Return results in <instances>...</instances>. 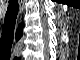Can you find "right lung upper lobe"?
<instances>
[{"instance_id": "right-lung-upper-lobe-1", "label": "right lung upper lobe", "mask_w": 80, "mask_h": 60, "mask_svg": "<svg viewBox=\"0 0 80 60\" xmlns=\"http://www.w3.org/2000/svg\"><path fill=\"white\" fill-rule=\"evenodd\" d=\"M22 30H23V25L20 24L19 27H18L17 34H16V40H18L22 36V34H23Z\"/></svg>"}]
</instances>
